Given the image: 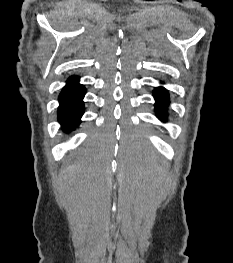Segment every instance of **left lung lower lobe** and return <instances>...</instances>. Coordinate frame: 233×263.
Instances as JSON below:
<instances>
[{
    "label": "left lung lower lobe",
    "mask_w": 233,
    "mask_h": 263,
    "mask_svg": "<svg viewBox=\"0 0 233 263\" xmlns=\"http://www.w3.org/2000/svg\"><path fill=\"white\" fill-rule=\"evenodd\" d=\"M153 95L156 100V115L160 120L166 121V109L169 105L168 92L163 87H157Z\"/></svg>",
    "instance_id": "1"
}]
</instances>
